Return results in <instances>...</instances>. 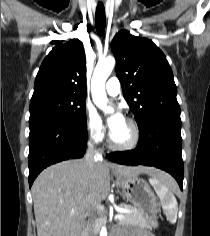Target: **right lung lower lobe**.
<instances>
[{"instance_id": "obj_1", "label": "right lung lower lobe", "mask_w": 210, "mask_h": 236, "mask_svg": "<svg viewBox=\"0 0 210 236\" xmlns=\"http://www.w3.org/2000/svg\"><path fill=\"white\" fill-rule=\"evenodd\" d=\"M87 126L62 122H44L30 127L29 186L47 166L81 158L87 146Z\"/></svg>"}]
</instances>
